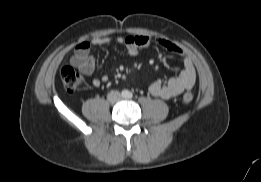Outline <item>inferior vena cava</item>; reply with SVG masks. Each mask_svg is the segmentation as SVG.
<instances>
[{
	"instance_id": "obj_1",
	"label": "inferior vena cava",
	"mask_w": 261,
	"mask_h": 182,
	"mask_svg": "<svg viewBox=\"0 0 261 182\" xmlns=\"http://www.w3.org/2000/svg\"><path fill=\"white\" fill-rule=\"evenodd\" d=\"M107 99L109 102H117L121 99V94L118 91H111L108 95H107Z\"/></svg>"
}]
</instances>
